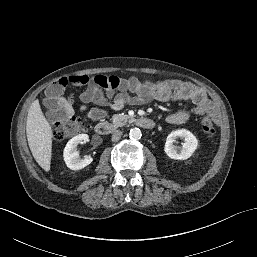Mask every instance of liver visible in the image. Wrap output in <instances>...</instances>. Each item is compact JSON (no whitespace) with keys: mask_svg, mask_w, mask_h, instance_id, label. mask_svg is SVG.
Here are the masks:
<instances>
[{"mask_svg":"<svg viewBox=\"0 0 257 257\" xmlns=\"http://www.w3.org/2000/svg\"><path fill=\"white\" fill-rule=\"evenodd\" d=\"M26 135L29 148L39 166L50 170L52 155V127L45 118L39 100L32 102L26 122Z\"/></svg>","mask_w":257,"mask_h":257,"instance_id":"obj_1","label":"liver"}]
</instances>
